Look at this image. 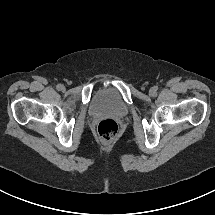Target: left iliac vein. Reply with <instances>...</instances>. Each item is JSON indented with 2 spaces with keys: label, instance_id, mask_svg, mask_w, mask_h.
Here are the masks:
<instances>
[{
  "label": "left iliac vein",
  "instance_id": "1",
  "mask_svg": "<svg viewBox=\"0 0 215 215\" xmlns=\"http://www.w3.org/2000/svg\"><path fill=\"white\" fill-rule=\"evenodd\" d=\"M149 94H150L151 96H155V95H156V88H155V87L150 88Z\"/></svg>",
  "mask_w": 215,
  "mask_h": 215
}]
</instances>
